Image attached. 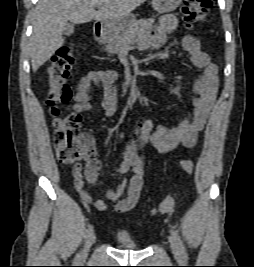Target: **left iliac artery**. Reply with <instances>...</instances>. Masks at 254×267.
Instances as JSON below:
<instances>
[{
  "label": "left iliac artery",
  "instance_id": "44dca946",
  "mask_svg": "<svg viewBox=\"0 0 254 267\" xmlns=\"http://www.w3.org/2000/svg\"><path fill=\"white\" fill-rule=\"evenodd\" d=\"M171 233L177 242L180 254L182 255L183 258H186V249H185V246H184L179 234L177 233V231H175L173 229H171Z\"/></svg>",
  "mask_w": 254,
  "mask_h": 267
}]
</instances>
